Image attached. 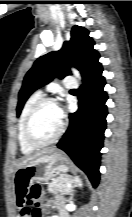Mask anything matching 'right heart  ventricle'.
I'll list each match as a JSON object with an SVG mask.
<instances>
[{
  "instance_id": "1",
  "label": "right heart ventricle",
  "mask_w": 132,
  "mask_h": 217,
  "mask_svg": "<svg viewBox=\"0 0 132 217\" xmlns=\"http://www.w3.org/2000/svg\"><path fill=\"white\" fill-rule=\"evenodd\" d=\"M42 98V93L37 91L34 92L33 94H31L29 96V98L26 100L21 116H20V120H19V124H18V143L20 146V150L23 154H30L32 152L35 151L36 148L30 146L24 138V124L26 121V118L29 114V112L31 111V109L33 108V106Z\"/></svg>"
}]
</instances>
